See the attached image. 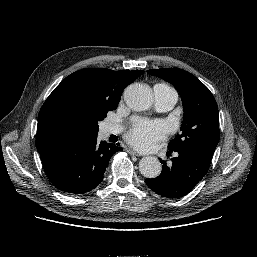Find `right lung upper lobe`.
<instances>
[{
	"label": "right lung upper lobe",
	"instance_id": "obj_1",
	"mask_svg": "<svg viewBox=\"0 0 257 257\" xmlns=\"http://www.w3.org/2000/svg\"><path fill=\"white\" fill-rule=\"evenodd\" d=\"M143 73V70L88 68L67 76L40 109L38 151L60 140L87 136L80 116L81 104L85 101L119 102L125 87Z\"/></svg>",
	"mask_w": 257,
	"mask_h": 257
}]
</instances>
